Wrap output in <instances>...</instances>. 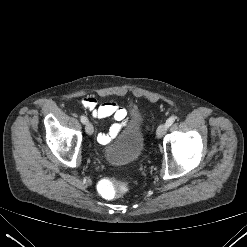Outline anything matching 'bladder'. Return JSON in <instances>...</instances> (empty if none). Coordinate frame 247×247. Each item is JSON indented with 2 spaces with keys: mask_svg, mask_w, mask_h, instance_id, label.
<instances>
[{
  "mask_svg": "<svg viewBox=\"0 0 247 247\" xmlns=\"http://www.w3.org/2000/svg\"><path fill=\"white\" fill-rule=\"evenodd\" d=\"M144 148L143 117L138 111H133L124 131L106 149L105 157L112 165H124L137 161Z\"/></svg>",
  "mask_w": 247,
  "mask_h": 247,
  "instance_id": "1",
  "label": "bladder"
}]
</instances>
